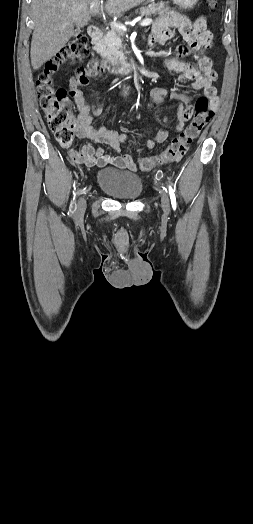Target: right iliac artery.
I'll return each instance as SVG.
<instances>
[{
  "label": "right iliac artery",
  "instance_id": "82829eb1",
  "mask_svg": "<svg viewBox=\"0 0 253 524\" xmlns=\"http://www.w3.org/2000/svg\"><path fill=\"white\" fill-rule=\"evenodd\" d=\"M80 192H81V190H79V188H77V190L75 188V191L73 192V199H72L71 204H70V212L71 213H74L75 210H76V206H77L76 205V198L80 194Z\"/></svg>",
  "mask_w": 253,
  "mask_h": 524
}]
</instances>
